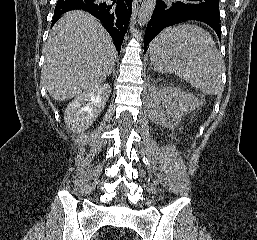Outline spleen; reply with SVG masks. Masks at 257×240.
<instances>
[{"mask_svg":"<svg viewBox=\"0 0 257 240\" xmlns=\"http://www.w3.org/2000/svg\"><path fill=\"white\" fill-rule=\"evenodd\" d=\"M150 60L162 74H174L200 91H222L224 62L211 35L191 24L163 30L150 45Z\"/></svg>","mask_w":257,"mask_h":240,"instance_id":"obj_1","label":"spleen"}]
</instances>
